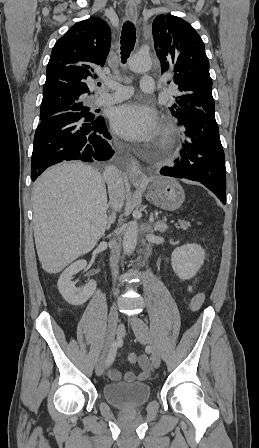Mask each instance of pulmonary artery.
<instances>
[{"mask_svg":"<svg viewBox=\"0 0 259 448\" xmlns=\"http://www.w3.org/2000/svg\"><path fill=\"white\" fill-rule=\"evenodd\" d=\"M146 54V53H145ZM140 54L138 53H134L130 56L129 58V65L131 66L132 70L135 72H143L144 70L141 69L140 67H138L135 63H134V59L139 56ZM147 78V76H146ZM102 88H110L113 90H124L123 92H119V93H113V94H109V95H102L101 94V88L98 89V94L99 96L97 97L95 104H112V103H117L120 102L122 100L127 99L128 97L131 96L132 91L129 90L128 88L122 86L120 83L112 81V80H104L101 84Z\"/></svg>","mask_w":259,"mask_h":448,"instance_id":"obj_1","label":"pulmonary artery"}]
</instances>
